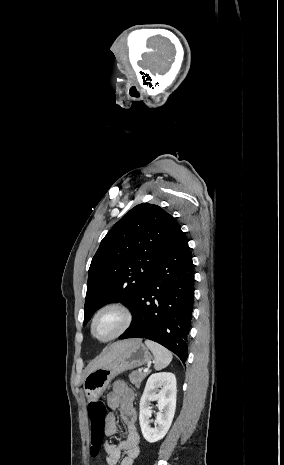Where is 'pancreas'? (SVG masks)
Returning a JSON list of instances; mask_svg holds the SVG:
<instances>
[{"mask_svg": "<svg viewBox=\"0 0 284 465\" xmlns=\"http://www.w3.org/2000/svg\"><path fill=\"white\" fill-rule=\"evenodd\" d=\"M149 373H139V371H132L131 375H129V379L132 385H135V387L139 389L140 383H142L143 379H145Z\"/></svg>", "mask_w": 284, "mask_h": 465, "instance_id": "obj_1", "label": "pancreas"}]
</instances>
